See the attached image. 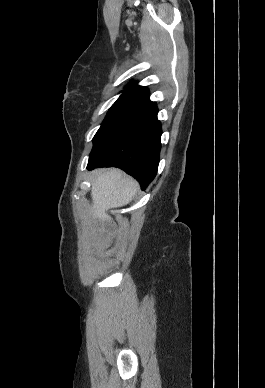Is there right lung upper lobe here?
Segmentation results:
<instances>
[{
	"label": "right lung upper lobe",
	"instance_id": "cb5924a9",
	"mask_svg": "<svg viewBox=\"0 0 265 388\" xmlns=\"http://www.w3.org/2000/svg\"><path fill=\"white\" fill-rule=\"evenodd\" d=\"M122 95L123 96L134 97V98H138V99H142V100H146L149 103L151 102L149 100L148 89L146 87L138 86L136 84L128 85L126 87V90L123 91Z\"/></svg>",
	"mask_w": 265,
	"mask_h": 388
}]
</instances>
